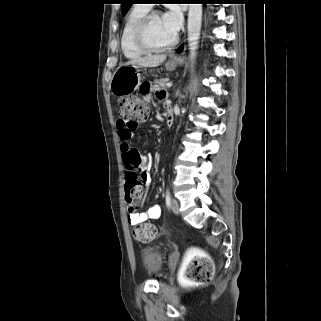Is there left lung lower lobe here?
I'll use <instances>...</instances> for the list:
<instances>
[{
    "label": "left lung lower lobe",
    "mask_w": 321,
    "mask_h": 321,
    "mask_svg": "<svg viewBox=\"0 0 321 321\" xmlns=\"http://www.w3.org/2000/svg\"><path fill=\"white\" fill-rule=\"evenodd\" d=\"M203 4H207L206 0H200ZM183 50V44L176 50V51H182Z\"/></svg>",
    "instance_id": "1"
}]
</instances>
